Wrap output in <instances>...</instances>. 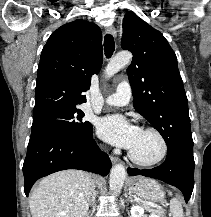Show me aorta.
<instances>
[{
  "label": "aorta",
  "instance_id": "1",
  "mask_svg": "<svg viewBox=\"0 0 211 217\" xmlns=\"http://www.w3.org/2000/svg\"><path fill=\"white\" fill-rule=\"evenodd\" d=\"M132 60V54L130 52L118 53L105 68L106 78H110L120 71L123 67L128 65ZM126 179V170L122 164H116L110 173V189L115 194L119 193L124 181Z\"/></svg>",
  "mask_w": 211,
  "mask_h": 217
}]
</instances>
